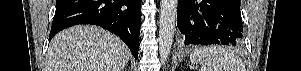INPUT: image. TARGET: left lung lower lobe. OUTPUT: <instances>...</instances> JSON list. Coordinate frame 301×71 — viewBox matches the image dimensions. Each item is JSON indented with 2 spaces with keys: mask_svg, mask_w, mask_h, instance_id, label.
I'll list each match as a JSON object with an SVG mask.
<instances>
[{
  "mask_svg": "<svg viewBox=\"0 0 301 71\" xmlns=\"http://www.w3.org/2000/svg\"><path fill=\"white\" fill-rule=\"evenodd\" d=\"M177 26L186 45L238 46L243 41L240 0H178Z\"/></svg>",
  "mask_w": 301,
  "mask_h": 71,
  "instance_id": "1",
  "label": "left lung lower lobe"
}]
</instances>
